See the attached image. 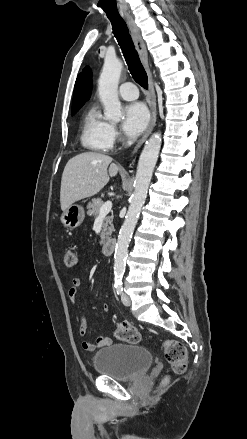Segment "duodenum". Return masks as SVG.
Returning <instances> with one entry per match:
<instances>
[{"mask_svg":"<svg viewBox=\"0 0 247 439\" xmlns=\"http://www.w3.org/2000/svg\"><path fill=\"white\" fill-rule=\"evenodd\" d=\"M116 247V241L114 239H107L103 243L102 252L106 256H110L113 254Z\"/></svg>","mask_w":247,"mask_h":439,"instance_id":"1","label":"duodenum"}]
</instances>
